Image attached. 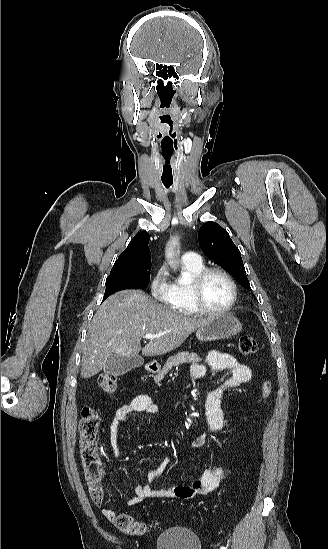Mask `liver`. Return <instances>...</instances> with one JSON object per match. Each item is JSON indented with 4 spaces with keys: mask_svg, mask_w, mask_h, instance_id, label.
<instances>
[{
    "mask_svg": "<svg viewBox=\"0 0 328 549\" xmlns=\"http://www.w3.org/2000/svg\"><path fill=\"white\" fill-rule=\"evenodd\" d=\"M205 323L207 319L167 309L144 291H119L99 307L88 327L81 377L89 379L100 373L112 355L136 357L141 351L144 357H155L175 351ZM147 333L165 335L150 339L142 349L140 341Z\"/></svg>",
    "mask_w": 328,
    "mask_h": 549,
    "instance_id": "obj_1",
    "label": "liver"
}]
</instances>
